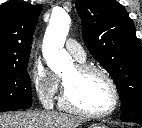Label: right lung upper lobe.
Wrapping results in <instances>:
<instances>
[{
    "label": "right lung upper lobe",
    "mask_w": 142,
    "mask_h": 128,
    "mask_svg": "<svg viewBox=\"0 0 142 128\" xmlns=\"http://www.w3.org/2000/svg\"><path fill=\"white\" fill-rule=\"evenodd\" d=\"M42 10L17 0L0 6V69L28 63L32 36Z\"/></svg>",
    "instance_id": "obj_1"
}]
</instances>
